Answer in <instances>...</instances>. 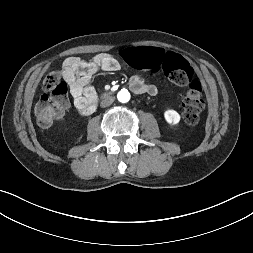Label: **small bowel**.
<instances>
[{"instance_id": "obj_1", "label": "small bowel", "mask_w": 253, "mask_h": 253, "mask_svg": "<svg viewBox=\"0 0 253 253\" xmlns=\"http://www.w3.org/2000/svg\"><path fill=\"white\" fill-rule=\"evenodd\" d=\"M153 47V46H149ZM118 60L108 53H99L89 60L80 57H68L63 63V76L68 83L74 105L78 110L96 101L97 93L89 85L91 78L98 71L115 72L119 70ZM130 87L135 93L156 95L158 90L153 84L145 83L142 78L133 75L129 80Z\"/></svg>"}]
</instances>
